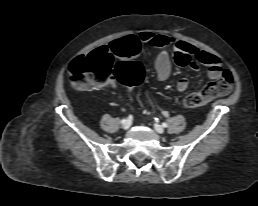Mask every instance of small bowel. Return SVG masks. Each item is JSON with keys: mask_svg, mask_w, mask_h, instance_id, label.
Returning <instances> with one entry per match:
<instances>
[{"mask_svg": "<svg viewBox=\"0 0 258 206\" xmlns=\"http://www.w3.org/2000/svg\"><path fill=\"white\" fill-rule=\"evenodd\" d=\"M169 46L172 47V54L168 52ZM143 47L159 50L155 60V72L159 81H165L169 78L172 61L179 66L189 67L193 70H198L201 65L207 66L208 76L213 80L221 78L224 72L218 56L198 49L185 41L149 31L141 32L138 35L124 36L96 50H102L111 56L130 57L136 55ZM107 85L112 88L116 87L113 80H109ZM188 86L189 80L187 78L179 79L176 85L179 92L186 91Z\"/></svg>", "mask_w": 258, "mask_h": 206, "instance_id": "1", "label": "small bowel"}]
</instances>
